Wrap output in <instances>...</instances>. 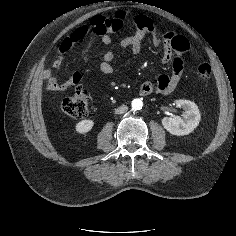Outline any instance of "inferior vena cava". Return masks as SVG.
Returning a JSON list of instances; mask_svg holds the SVG:
<instances>
[{"instance_id": "602c4592", "label": "inferior vena cava", "mask_w": 236, "mask_h": 236, "mask_svg": "<svg viewBox=\"0 0 236 236\" xmlns=\"http://www.w3.org/2000/svg\"><path fill=\"white\" fill-rule=\"evenodd\" d=\"M128 110V107L126 105H121L117 109H115V114H123Z\"/></svg>"}]
</instances>
